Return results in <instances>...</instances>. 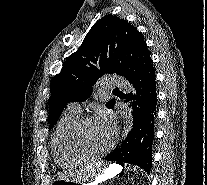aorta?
Returning a JSON list of instances; mask_svg holds the SVG:
<instances>
[{
	"mask_svg": "<svg viewBox=\"0 0 207 185\" xmlns=\"http://www.w3.org/2000/svg\"><path fill=\"white\" fill-rule=\"evenodd\" d=\"M132 119H133L132 113L130 112L125 120V126H126L127 132H129L132 129Z\"/></svg>",
	"mask_w": 207,
	"mask_h": 185,
	"instance_id": "obj_1",
	"label": "aorta"
}]
</instances>
